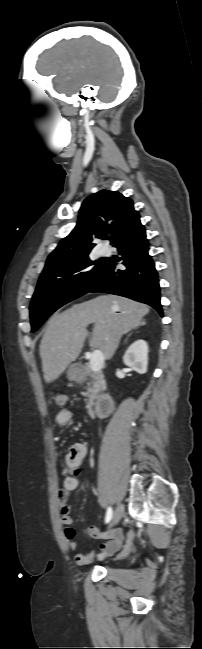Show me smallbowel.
Listing matches in <instances>:
<instances>
[{
  "label": "small bowel",
  "instance_id": "1",
  "mask_svg": "<svg viewBox=\"0 0 202 649\" xmlns=\"http://www.w3.org/2000/svg\"><path fill=\"white\" fill-rule=\"evenodd\" d=\"M73 417V413L69 409L60 410L56 417L55 422L58 426L67 425ZM88 452V444L86 442L73 444L65 457L64 464V480L63 486L58 492V502L60 507L61 522L66 525L63 530V536L67 541V547L70 550L77 549V542L75 538V530L70 527L73 522L72 510L68 505L70 494L78 488V475L82 461ZM88 535L93 539H106L101 544V552L97 553L94 549H90L84 553L75 555V561L78 565H87L93 562L103 561L105 558L114 555L121 548L123 541V532L120 528H111L105 532L99 531L95 526L87 528ZM129 553V547L123 549L116 558H121Z\"/></svg>",
  "mask_w": 202,
  "mask_h": 649
}]
</instances>
